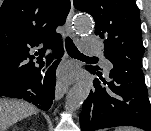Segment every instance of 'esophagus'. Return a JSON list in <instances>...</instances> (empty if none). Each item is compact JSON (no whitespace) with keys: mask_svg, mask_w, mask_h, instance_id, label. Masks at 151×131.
<instances>
[{"mask_svg":"<svg viewBox=\"0 0 151 131\" xmlns=\"http://www.w3.org/2000/svg\"><path fill=\"white\" fill-rule=\"evenodd\" d=\"M74 15V6H73V0H71V9L70 12L68 14L67 20H66V28H67V32L68 34L75 38V33L72 29V18ZM68 84L62 83V82H58L56 85V91H55V97L56 100H60L64 94L68 91Z\"/></svg>","mask_w":151,"mask_h":131,"instance_id":"1","label":"esophagus"}]
</instances>
